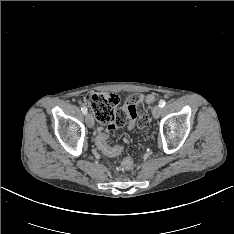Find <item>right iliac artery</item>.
I'll use <instances>...</instances> for the list:
<instances>
[{"mask_svg": "<svg viewBox=\"0 0 234 234\" xmlns=\"http://www.w3.org/2000/svg\"><path fill=\"white\" fill-rule=\"evenodd\" d=\"M81 110H82V112H83L84 114L87 113V108H86L84 105L81 107Z\"/></svg>", "mask_w": 234, "mask_h": 234, "instance_id": "obj_1", "label": "right iliac artery"}]
</instances>
